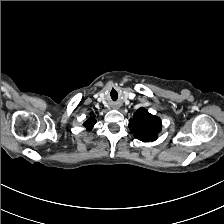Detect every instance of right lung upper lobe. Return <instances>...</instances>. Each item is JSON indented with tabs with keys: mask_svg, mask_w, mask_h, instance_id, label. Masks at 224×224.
Instances as JSON below:
<instances>
[{
	"mask_svg": "<svg viewBox=\"0 0 224 224\" xmlns=\"http://www.w3.org/2000/svg\"><path fill=\"white\" fill-rule=\"evenodd\" d=\"M95 123H96V120L93 117H91L84 122V126L88 130H91L93 128V126L95 125Z\"/></svg>",
	"mask_w": 224,
	"mask_h": 224,
	"instance_id": "obj_1",
	"label": "right lung upper lobe"
}]
</instances>
